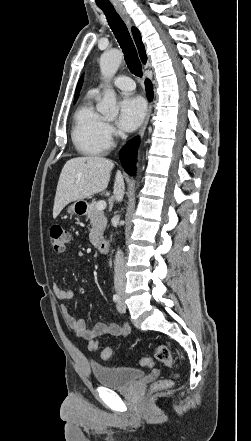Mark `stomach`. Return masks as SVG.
Here are the masks:
<instances>
[{"instance_id": "0dacf381", "label": "stomach", "mask_w": 251, "mask_h": 441, "mask_svg": "<svg viewBox=\"0 0 251 441\" xmlns=\"http://www.w3.org/2000/svg\"><path fill=\"white\" fill-rule=\"evenodd\" d=\"M86 208H88V204L86 203V201L78 200L68 207L67 212L69 214L81 215L85 213Z\"/></svg>"}]
</instances>
